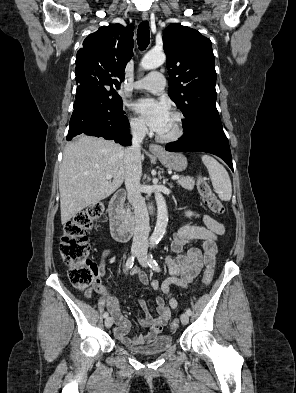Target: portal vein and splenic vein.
Masks as SVG:
<instances>
[{
    "instance_id": "18ae733b",
    "label": "portal vein and splenic vein",
    "mask_w": 296,
    "mask_h": 393,
    "mask_svg": "<svg viewBox=\"0 0 296 393\" xmlns=\"http://www.w3.org/2000/svg\"><path fill=\"white\" fill-rule=\"evenodd\" d=\"M105 177H106L107 180L112 179V175H111V174H107ZM179 178H180V177H179L178 175H173V176L171 177L172 180H178Z\"/></svg>"
}]
</instances>
